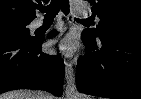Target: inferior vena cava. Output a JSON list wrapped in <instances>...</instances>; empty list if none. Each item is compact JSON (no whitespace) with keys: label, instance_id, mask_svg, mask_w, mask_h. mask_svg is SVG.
Returning <instances> with one entry per match:
<instances>
[{"label":"inferior vena cava","instance_id":"602c4592","mask_svg":"<svg viewBox=\"0 0 141 99\" xmlns=\"http://www.w3.org/2000/svg\"><path fill=\"white\" fill-rule=\"evenodd\" d=\"M35 95H36V99H51L52 98L50 94L43 91H37Z\"/></svg>","mask_w":141,"mask_h":99}]
</instances>
